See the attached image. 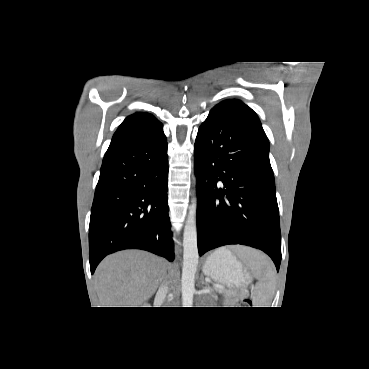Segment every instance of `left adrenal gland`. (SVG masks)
<instances>
[{
	"instance_id": "a2214340",
	"label": "left adrenal gland",
	"mask_w": 369,
	"mask_h": 369,
	"mask_svg": "<svg viewBox=\"0 0 369 369\" xmlns=\"http://www.w3.org/2000/svg\"><path fill=\"white\" fill-rule=\"evenodd\" d=\"M202 284L205 285L206 287H209V285L203 280V276H202V280H201Z\"/></svg>"
}]
</instances>
